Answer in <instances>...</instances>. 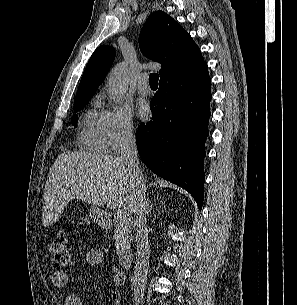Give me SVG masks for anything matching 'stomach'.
<instances>
[{"mask_svg":"<svg viewBox=\"0 0 297 305\" xmlns=\"http://www.w3.org/2000/svg\"><path fill=\"white\" fill-rule=\"evenodd\" d=\"M90 216L94 222L101 224L104 220L103 212L96 206L91 207Z\"/></svg>","mask_w":297,"mask_h":305,"instance_id":"obj_1","label":"stomach"}]
</instances>
